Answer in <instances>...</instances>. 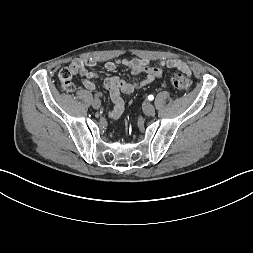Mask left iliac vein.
Listing matches in <instances>:
<instances>
[{"label": "left iliac vein", "mask_w": 253, "mask_h": 253, "mask_svg": "<svg viewBox=\"0 0 253 253\" xmlns=\"http://www.w3.org/2000/svg\"><path fill=\"white\" fill-rule=\"evenodd\" d=\"M143 112L147 116H152L155 114V107L152 104L148 103L144 105Z\"/></svg>", "instance_id": "1"}]
</instances>
